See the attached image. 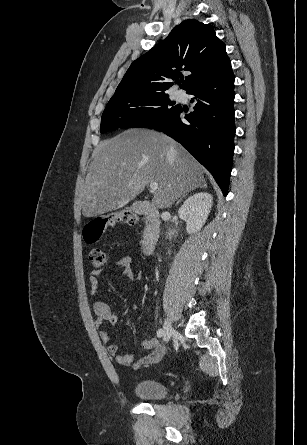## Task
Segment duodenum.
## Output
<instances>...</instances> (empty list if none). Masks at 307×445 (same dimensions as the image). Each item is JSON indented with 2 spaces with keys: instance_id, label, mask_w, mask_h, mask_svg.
<instances>
[{
  "instance_id": "1",
  "label": "duodenum",
  "mask_w": 307,
  "mask_h": 445,
  "mask_svg": "<svg viewBox=\"0 0 307 445\" xmlns=\"http://www.w3.org/2000/svg\"><path fill=\"white\" fill-rule=\"evenodd\" d=\"M133 211L140 214L145 219V228L141 240V250L145 254H149L158 238L161 231V222L159 211L149 202H137L133 206Z\"/></svg>"
}]
</instances>
